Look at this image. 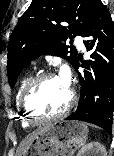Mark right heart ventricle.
<instances>
[{
  "instance_id": "1",
  "label": "right heart ventricle",
  "mask_w": 114,
  "mask_h": 156,
  "mask_svg": "<svg viewBox=\"0 0 114 156\" xmlns=\"http://www.w3.org/2000/svg\"><path fill=\"white\" fill-rule=\"evenodd\" d=\"M32 78V75H27L26 77H24L17 89L16 92V98H15V102H16V107L18 109V115H20V119H21V124L23 127H29L31 125L30 122L27 121V119L25 118L24 114L21 112L20 110V104H19V100H20V95L25 87V85L28 83V81Z\"/></svg>"
}]
</instances>
